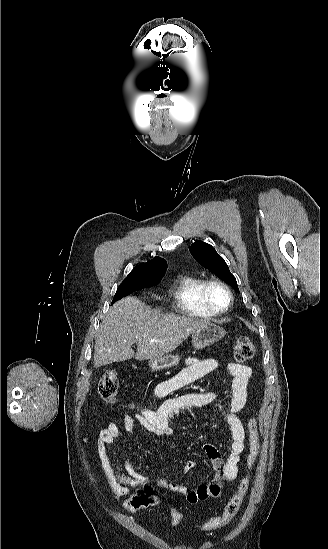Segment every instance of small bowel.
I'll list each match as a JSON object with an SVG mask.
<instances>
[{
	"mask_svg": "<svg viewBox=\"0 0 328 549\" xmlns=\"http://www.w3.org/2000/svg\"><path fill=\"white\" fill-rule=\"evenodd\" d=\"M219 365L220 362L214 358L190 357L186 361V367L177 375L158 384L153 394L158 399L166 398L175 391L215 371ZM227 369L233 376L231 398L224 404L223 413L231 435L230 453L224 457L216 446L205 443L203 450L214 469L212 480L193 489L182 484L170 486L173 492L180 494L189 504L220 497L224 483L234 481L238 476L239 462L245 449L246 438L245 429L238 413L246 404L252 369L247 365L237 363H229ZM218 401L217 396L210 392L187 393L165 399L155 410L144 408L134 416L124 415L123 423L129 435L136 434L135 421H137L146 433L167 438L177 434V430L171 425L174 417L182 412L208 407ZM120 438L119 429L112 421L102 429L96 445L107 483L116 500L129 496L131 489L144 487L149 483L147 475L135 469L128 461H120L111 452V447ZM193 467L194 462L187 459L185 471L188 472ZM161 482L164 483V481Z\"/></svg>",
	"mask_w": 328,
	"mask_h": 549,
	"instance_id": "obj_1",
	"label": "small bowel"
}]
</instances>
